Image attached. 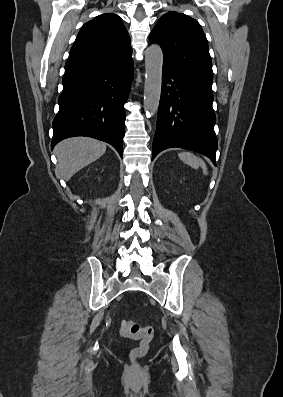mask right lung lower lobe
<instances>
[{
	"label": "right lung lower lobe",
	"instance_id": "right-lung-lower-lobe-1",
	"mask_svg": "<svg viewBox=\"0 0 283 397\" xmlns=\"http://www.w3.org/2000/svg\"><path fill=\"white\" fill-rule=\"evenodd\" d=\"M133 60L126 64L63 79L59 112L53 120L51 149L61 140L88 136L111 144L122 157L124 103L133 79Z\"/></svg>",
	"mask_w": 283,
	"mask_h": 397
}]
</instances>
